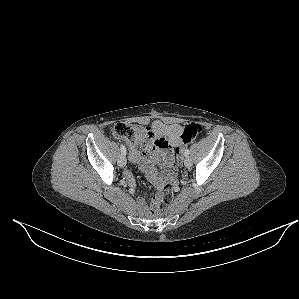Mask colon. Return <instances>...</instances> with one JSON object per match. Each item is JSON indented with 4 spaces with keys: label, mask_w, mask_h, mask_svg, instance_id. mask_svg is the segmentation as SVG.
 I'll use <instances>...</instances> for the list:
<instances>
[{
    "label": "colon",
    "mask_w": 299,
    "mask_h": 299,
    "mask_svg": "<svg viewBox=\"0 0 299 299\" xmlns=\"http://www.w3.org/2000/svg\"><path fill=\"white\" fill-rule=\"evenodd\" d=\"M202 130L203 128L201 125L194 123L188 124L183 128L181 135L182 143L175 147L178 165H180L182 162L181 153L183 151V147L186 144L196 140L197 137L202 133ZM111 131L114 136L122 138L125 141L135 145H140L148 135L147 127L127 122L115 123L112 125ZM172 199L173 191L169 185H166L164 190L154 197L153 212H161L164 206L167 205Z\"/></svg>",
    "instance_id": "colon-1"
}]
</instances>
